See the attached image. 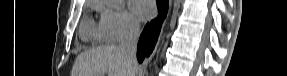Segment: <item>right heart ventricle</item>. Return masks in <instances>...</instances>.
<instances>
[{
    "instance_id": "right-heart-ventricle-1",
    "label": "right heart ventricle",
    "mask_w": 287,
    "mask_h": 76,
    "mask_svg": "<svg viewBox=\"0 0 287 76\" xmlns=\"http://www.w3.org/2000/svg\"><path fill=\"white\" fill-rule=\"evenodd\" d=\"M81 37L87 41L103 42L106 41L100 26H96L92 20L84 22L81 28Z\"/></svg>"
}]
</instances>
